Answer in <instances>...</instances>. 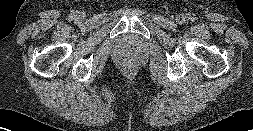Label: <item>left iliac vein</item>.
<instances>
[{
	"label": "left iliac vein",
	"instance_id": "4c4485c4",
	"mask_svg": "<svg viewBox=\"0 0 253 131\" xmlns=\"http://www.w3.org/2000/svg\"><path fill=\"white\" fill-rule=\"evenodd\" d=\"M177 19H178V21H185L186 16H185L184 14H179V15L177 16Z\"/></svg>",
	"mask_w": 253,
	"mask_h": 131
}]
</instances>
